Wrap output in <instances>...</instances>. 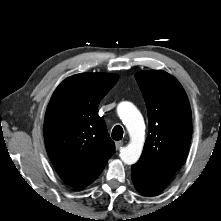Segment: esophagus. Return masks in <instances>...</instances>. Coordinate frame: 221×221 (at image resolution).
Here are the masks:
<instances>
[{
  "label": "esophagus",
  "instance_id": "34e87169",
  "mask_svg": "<svg viewBox=\"0 0 221 221\" xmlns=\"http://www.w3.org/2000/svg\"><path fill=\"white\" fill-rule=\"evenodd\" d=\"M115 145H116V149L119 150L123 146V142L122 141H117L115 143Z\"/></svg>",
  "mask_w": 221,
  "mask_h": 221
}]
</instances>
